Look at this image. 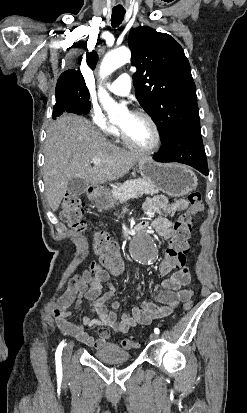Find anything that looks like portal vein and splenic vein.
I'll return each instance as SVG.
<instances>
[{"mask_svg":"<svg viewBox=\"0 0 247 413\" xmlns=\"http://www.w3.org/2000/svg\"><path fill=\"white\" fill-rule=\"evenodd\" d=\"M91 162H93V164H100L101 158H91Z\"/></svg>","mask_w":247,"mask_h":413,"instance_id":"18ae733b","label":"portal vein and splenic vein"}]
</instances>
